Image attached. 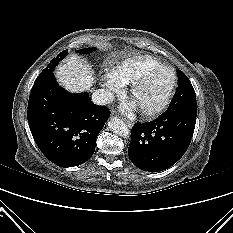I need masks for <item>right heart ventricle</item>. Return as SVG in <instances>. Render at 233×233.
Wrapping results in <instances>:
<instances>
[{
  "instance_id": "1",
  "label": "right heart ventricle",
  "mask_w": 233,
  "mask_h": 233,
  "mask_svg": "<svg viewBox=\"0 0 233 233\" xmlns=\"http://www.w3.org/2000/svg\"><path fill=\"white\" fill-rule=\"evenodd\" d=\"M160 66L163 65L151 56H137L121 62L116 72L123 84H131L147 70Z\"/></svg>"
}]
</instances>
